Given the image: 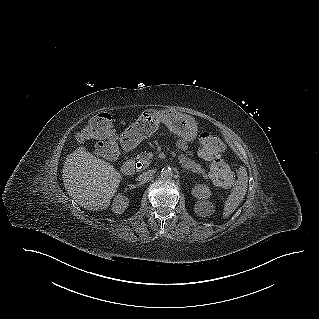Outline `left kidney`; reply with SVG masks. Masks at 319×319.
I'll return each instance as SVG.
<instances>
[{
  "instance_id": "obj_1",
  "label": "left kidney",
  "mask_w": 319,
  "mask_h": 319,
  "mask_svg": "<svg viewBox=\"0 0 319 319\" xmlns=\"http://www.w3.org/2000/svg\"><path fill=\"white\" fill-rule=\"evenodd\" d=\"M192 195L201 200L196 204V212L198 215L208 216L214 212V206L210 202L206 201V199H208L211 195V191L207 185H195L192 189Z\"/></svg>"
}]
</instances>
